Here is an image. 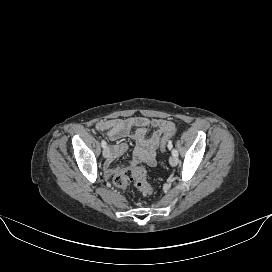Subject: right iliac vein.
Returning <instances> with one entry per match:
<instances>
[{
  "instance_id": "1",
  "label": "right iliac vein",
  "mask_w": 272,
  "mask_h": 272,
  "mask_svg": "<svg viewBox=\"0 0 272 272\" xmlns=\"http://www.w3.org/2000/svg\"><path fill=\"white\" fill-rule=\"evenodd\" d=\"M110 155V150L108 147H105L104 150H103V157L104 158H108Z\"/></svg>"
}]
</instances>
